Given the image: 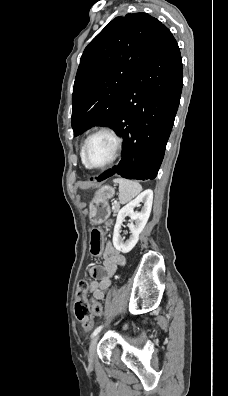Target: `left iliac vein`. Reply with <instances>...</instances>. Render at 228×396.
I'll use <instances>...</instances> for the list:
<instances>
[{
    "mask_svg": "<svg viewBox=\"0 0 228 396\" xmlns=\"http://www.w3.org/2000/svg\"><path fill=\"white\" fill-rule=\"evenodd\" d=\"M98 340H99V335L97 334L96 336L93 337L89 346V362L91 363H93L95 359Z\"/></svg>",
    "mask_w": 228,
    "mask_h": 396,
    "instance_id": "4c4485c4",
    "label": "left iliac vein"
}]
</instances>
